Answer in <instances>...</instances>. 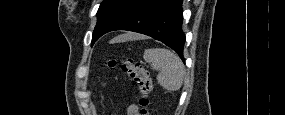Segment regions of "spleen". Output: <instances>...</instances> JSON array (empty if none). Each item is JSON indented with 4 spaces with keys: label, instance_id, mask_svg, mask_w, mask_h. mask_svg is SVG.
Returning <instances> with one entry per match:
<instances>
[{
    "label": "spleen",
    "instance_id": "3e777b00",
    "mask_svg": "<svg viewBox=\"0 0 285 115\" xmlns=\"http://www.w3.org/2000/svg\"><path fill=\"white\" fill-rule=\"evenodd\" d=\"M124 36L116 40H123ZM144 60L151 65L153 70L159 71L158 83L168 91H177L184 80L185 68L181 59L165 48H150L144 52Z\"/></svg>",
    "mask_w": 285,
    "mask_h": 115
}]
</instances>
